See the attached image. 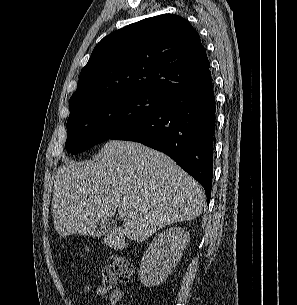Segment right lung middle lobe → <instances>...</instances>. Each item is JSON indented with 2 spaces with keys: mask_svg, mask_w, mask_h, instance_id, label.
<instances>
[{
  "mask_svg": "<svg viewBox=\"0 0 297 305\" xmlns=\"http://www.w3.org/2000/svg\"><path fill=\"white\" fill-rule=\"evenodd\" d=\"M164 98L156 93L129 92L76 108L67 120V151L78 154L112 138L150 115Z\"/></svg>",
  "mask_w": 297,
  "mask_h": 305,
  "instance_id": "1",
  "label": "right lung middle lobe"
}]
</instances>
